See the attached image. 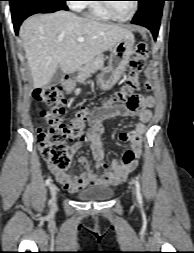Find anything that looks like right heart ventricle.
Returning a JSON list of instances; mask_svg holds the SVG:
<instances>
[{
	"mask_svg": "<svg viewBox=\"0 0 194 253\" xmlns=\"http://www.w3.org/2000/svg\"><path fill=\"white\" fill-rule=\"evenodd\" d=\"M86 15L94 20L109 21L110 16L102 8L101 4L97 1H90L85 5Z\"/></svg>",
	"mask_w": 194,
	"mask_h": 253,
	"instance_id": "e07e8e85",
	"label": "right heart ventricle"
}]
</instances>
